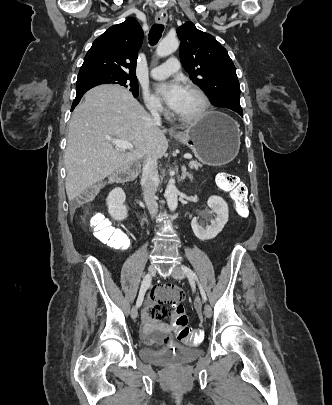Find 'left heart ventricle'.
<instances>
[{"instance_id": "left-heart-ventricle-1", "label": "left heart ventricle", "mask_w": 332, "mask_h": 405, "mask_svg": "<svg viewBox=\"0 0 332 405\" xmlns=\"http://www.w3.org/2000/svg\"><path fill=\"white\" fill-rule=\"evenodd\" d=\"M200 106L201 102L198 96L185 89L180 105L175 110V113L179 116H192L199 110Z\"/></svg>"}]
</instances>
